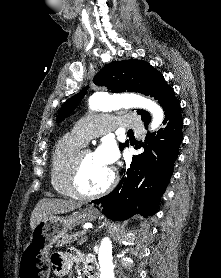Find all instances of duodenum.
<instances>
[{"instance_id": "410a0bca", "label": "duodenum", "mask_w": 221, "mask_h": 278, "mask_svg": "<svg viewBox=\"0 0 221 278\" xmlns=\"http://www.w3.org/2000/svg\"><path fill=\"white\" fill-rule=\"evenodd\" d=\"M85 274L87 278H99L97 264L92 259H87L85 263Z\"/></svg>"}]
</instances>
